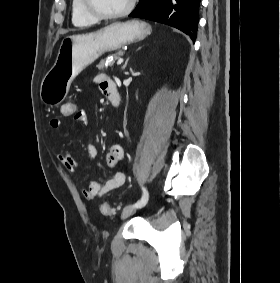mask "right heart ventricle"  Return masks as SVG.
<instances>
[{"mask_svg": "<svg viewBox=\"0 0 280 283\" xmlns=\"http://www.w3.org/2000/svg\"><path fill=\"white\" fill-rule=\"evenodd\" d=\"M72 23L77 27H86L95 24L98 20L86 13L82 0H72L71 3Z\"/></svg>", "mask_w": 280, "mask_h": 283, "instance_id": "e07e8e85", "label": "right heart ventricle"}]
</instances>
